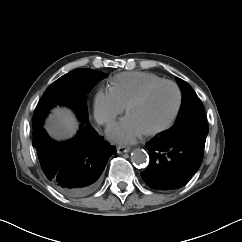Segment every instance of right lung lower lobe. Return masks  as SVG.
Instances as JSON below:
<instances>
[{
  "instance_id": "right-lung-lower-lobe-1",
  "label": "right lung lower lobe",
  "mask_w": 242,
  "mask_h": 242,
  "mask_svg": "<svg viewBox=\"0 0 242 242\" xmlns=\"http://www.w3.org/2000/svg\"><path fill=\"white\" fill-rule=\"evenodd\" d=\"M33 147L50 183L68 196H85L98 185L109 157L116 150L87 121L71 140L51 139L42 124L33 126Z\"/></svg>"
}]
</instances>
